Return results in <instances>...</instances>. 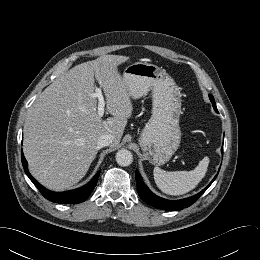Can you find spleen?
<instances>
[{
  "label": "spleen",
  "instance_id": "3e777b00",
  "mask_svg": "<svg viewBox=\"0 0 260 260\" xmlns=\"http://www.w3.org/2000/svg\"><path fill=\"white\" fill-rule=\"evenodd\" d=\"M209 158L204 157L199 164L190 171L167 172L159 167H155L153 174L158 188L169 195H182L193 190L204 178Z\"/></svg>",
  "mask_w": 260,
  "mask_h": 260
}]
</instances>
